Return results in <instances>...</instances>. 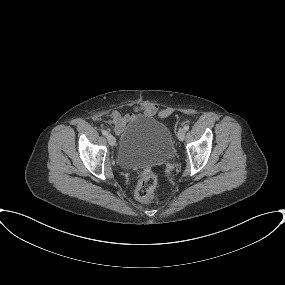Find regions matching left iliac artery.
Here are the masks:
<instances>
[{"label": "left iliac artery", "instance_id": "44dca946", "mask_svg": "<svg viewBox=\"0 0 285 285\" xmlns=\"http://www.w3.org/2000/svg\"><path fill=\"white\" fill-rule=\"evenodd\" d=\"M184 130H185V131H188V130H189V125H185V126H184Z\"/></svg>", "mask_w": 285, "mask_h": 285}]
</instances>
